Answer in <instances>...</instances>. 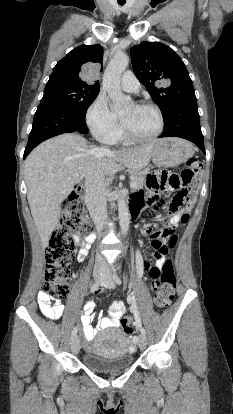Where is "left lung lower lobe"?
<instances>
[{"label":"left lung lower lobe","instance_id":"0a47b994","mask_svg":"<svg viewBox=\"0 0 233 414\" xmlns=\"http://www.w3.org/2000/svg\"><path fill=\"white\" fill-rule=\"evenodd\" d=\"M160 137L184 138L205 153L196 99L184 100L174 107L164 119V131Z\"/></svg>","mask_w":233,"mask_h":414}]
</instances>
